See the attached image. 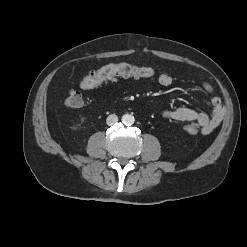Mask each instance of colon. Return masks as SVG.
Returning a JSON list of instances; mask_svg holds the SVG:
<instances>
[{"instance_id": "5ec220e1", "label": "colon", "mask_w": 247, "mask_h": 247, "mask_svg": "<svg viewBox=\"0 0 247 247\" xmlns=\"http://www.w3.org/2000/svg\"><path fill=\"white\" fill-rule=\"evenodd\" d=\"M155 74L156 71L150 67H139L127 63L108 64L85 76L80 82V88L83 90L93 89L117 77L146 78L152 77ZM83 104L84 97L78 90H70L64 99V105L69 108H79ZM199 131L200 127L196 123L186 126V132L190 135H195Z\"/></svg>"}]
</instances>
